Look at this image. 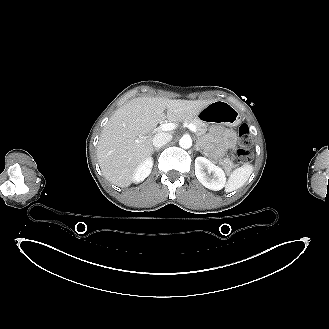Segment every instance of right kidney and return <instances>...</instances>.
Wrapping results in <instances>:
<instances>
[{
    "instance_id": "obj_1",
    "label": "right kidney",
    "mask_w": 329,
    "mask_h": 329,
    "mask_svg": "<svg viewBox=\"0 0 329 329\" xmlns=\"http://www.w3.org/2000/svg\"><path fill=\"white\" fill-rule=\"evenodd\" d=\"M153 167V159L147 158L135 171L133 182L139 183L143 181L151 172Z\"/></svg>"
}]
</instances>
